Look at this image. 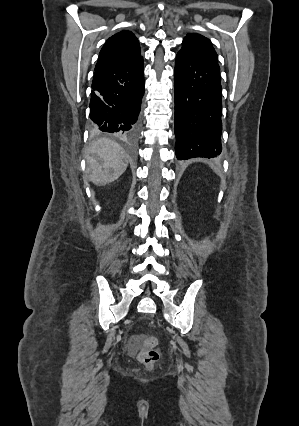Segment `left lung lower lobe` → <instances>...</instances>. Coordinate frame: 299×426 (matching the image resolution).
Segmentation results:
<instances>
[{"label":"left lung lower lobe","mask_w":299,"mask_h":426,"mask_svg":"<svg viewBox=\"0 0 299 426\" xmlns=\"http://www.w3.org/2000/svg\"><path fill=\"white\" fill-rule=\"evenodd\" d=\"M177 159L221 153L220 69L206 57L180 50L174 70Z\"/></svg>","instance_id":"0a47b994"}]
</instances>
